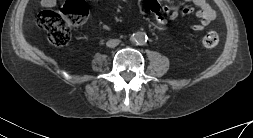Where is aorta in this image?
<instances>
[{"label": "aorta", "mask_w": 253, "mask_h": 138, "mask_svg": "<svg viewBox=\"0 0 253 138\" xmlns=\"http://www.w3.org/2000/svg\"><path fill=\"white\" fill-rule=\"evenodd\" d=\"M147 35L144 32H136L131 35L130 40L136 45H145L147 42Z\"/></svg>", "instance_id": "obj_1"}]
</instances>
